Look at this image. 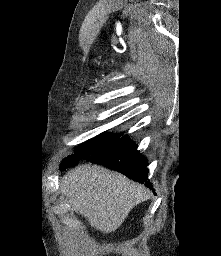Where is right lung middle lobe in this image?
<instances>
[{"mask_svg":"<svg viewBox=\"0 0 221 256\" xmlns=\"http://www.w3.org/2000/svg\"><path fill=\"white\" fill-rule=\"evenodd\" d=\"M121 135L123 134L121 133L119 135L109 133L106 135H101L98 138H94L90 141H87L85 144L76 147L74 150L75 154L64 159L60 169L64 170L67 166L71 167L76 165L79 160L85 159L106 145L113 143L114 141L118 140Z\"/></svg>","mask_w":221,"mask_h":256,"instance_id":"right-lung-middle-lobe-1","label":"right lung middle lobe"}]
</instances>
